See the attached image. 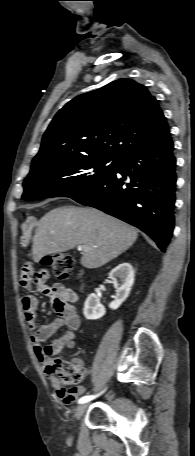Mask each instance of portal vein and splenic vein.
<instances>
[{
	"label": "portal vein and splenic vein",
	"mask_w": 195,
	"mask_h": 456,
	"mask_svg": "<svg viewBox=\"0 0 195 456\" xmlns=\"http://www.w3.org/2000/svg\"><path fill=\"white\" fill-rule=\"evenodd\" d=\"M80 248H81V249H84V248H85V246H84V245H80Z\"/></svg>",
	"instance_id": "obj_1"
}]
</instances>
